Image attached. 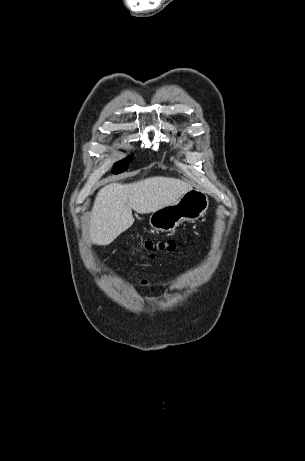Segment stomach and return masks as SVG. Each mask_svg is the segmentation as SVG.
<instances>
[{
	"label": "stomach",
	"mask_w": 305,
	"mask_h": 461,
	"mask_svg": "<svg viewBox=\"0 0 305 461\" xmlns=\"http://www.w3.org/2000/svg\"><path fill=\"white\" fill-rule=\"evenodd\" d=\"M208 206V196L201 191L192 189L172 205L152 212L149 224L155 230L170 232L183 221H194L204 216Z\"/></svg>",
	"instance_id": "stomach-1"
}]
</instances>
